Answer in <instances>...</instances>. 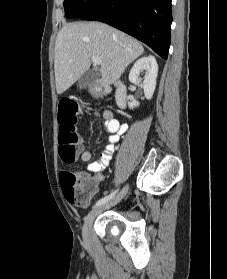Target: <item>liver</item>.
Wrapping results in <instances>:
<instances>
[{
	"instance_id": "6515ba94",
	"label": "liver",
	"mask_w": 227,
	"mask_h": 279,
	"mask_svg": "<svg viewBox=\"0 0 227 279\" xmlns=\"http://www.w3.org/2000/svg\"><path fill=\"white\" fill-rule=\"evenodd\" d=\"M143 52L144 48L137 40L104 23L76 22L64 25L55 43L57 93L65 92L88 71L93 56L101 59L102 80L113 84Z\"/></svg>"
}]
</instances>
